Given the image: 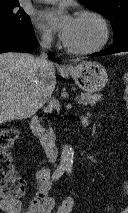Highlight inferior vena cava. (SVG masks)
I'll list each match as a JSON object with an SVG mask.
<instances>
[{
	"label": "inferior vena cava",
	"mask_w": 128,
	"mask_h": 213,
	"mask_svg": "<svg viewBox=\"0 0 128 213\" xmlns=\"http://www.w3.org/2000/svg\"><path fill=\"white\" fill-rule=\"evenodd\" d=\"M40 45H41L42 51H41L40 57L36 59V65L39 69V74L41 77V80L39 82V87H38V97L40 102L43 104L49 100L53 92L46 84V79L53 65L51 62L48 61L47 55H46V51L51 46V39L48 37H43Z\"/></svg>",
	"instance_id": "1"
}]
</instances>
